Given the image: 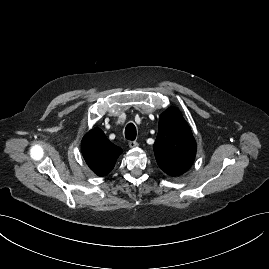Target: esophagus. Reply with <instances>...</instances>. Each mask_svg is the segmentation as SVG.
Instances as JSON below:
<instances>
[{
	"mask_svg": "<svg viewBox=\"0 0 269 269\" xmlns=\"http://www.w3.org/2000/svg\"><path fill=\"white\" fill-rule=\"evenodd\" d=\"M129 147L130 148H136V147H138V143L136 141H130L129 142Z\"/></svg>",
	"mask_w": 269,
	"mask_h": 269,
	"instance_id": "34e87169",
	"label": "esophagus"
}]
</instances>
